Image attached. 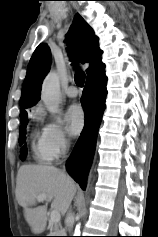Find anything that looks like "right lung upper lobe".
<instances>
[{
	"label": "right lung upper lobe",
	"instance_id": "1",
	"mask_svg": "<svg viewBox=\"0 0 158 237\" xmlns=\"http://www.w3.org/2000/svg\"><path fill=\"white\" fill-rule=\"evenodd\" d=\"M67 41L75 47L82 63L90 62L87 78L103 70L104 64L100 56L98 38L85 20L77 14ZM51 65V53L47 44H40L34 51L27 68L20 99V118L27 116L26 108L34 106L40 100L41 84Z\"/></svg>",
	"mask_w": 158,
	"mask_h": 237
}]
</instances>
